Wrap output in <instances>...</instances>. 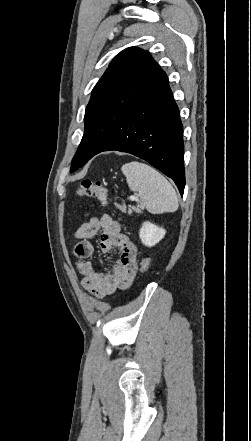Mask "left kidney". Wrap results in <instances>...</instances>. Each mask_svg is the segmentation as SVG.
<instances>
[{
	"instance_id": "obj_1",
	"label": "left kidney",
	"mask_w": 251,
	"mask_h": 441,
	"mask_svg": "<svg viewBox=\"0 0 251 441\" xmlns=\"http://www.w3.org/2000/svg\"><path fill=\"white\" fill-rule=\"evenodd\" d=\"M166 231L150 222H144L139 231L141 242L148 247L157 244L165 236Z\"/></svg>"
}]
</instances>
